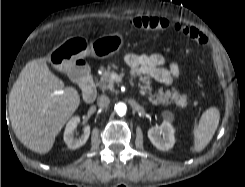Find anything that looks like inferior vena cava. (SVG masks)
<instances>
[{
	"instance_id": "1",
	"label": "inferior vena cava",
	"mask_w": 245,
	"mask_h": 187,
	"mask_svg": "<svg viewBox=\"0 0 245 187\" xmlns=\"http://www.w3.org/2000/svg\"><path fill=\"white\" fill-rule=\"evenodd\" d=\"M110 103V99L106 95H101L97 98V105L101 108H106Z\"/></svg>"
}]
</instances>
